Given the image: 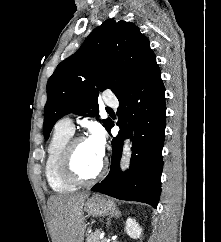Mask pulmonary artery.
<instances>
[{
    "label": "pulmonary artery",
    "instance_id": "e3ab8cb5",
    "mask_svg": "<svg viewBox=\"0 0 221 242\" xmlns=\"http://www.w3.org/2000/svg\"><path fill=\"white\" fill-rule=\"evenodd\" d=\"M105 104L109 106H114L117 104V100L114 98L111 99H105L104 101ZM57 127L63 131L69 132L71 134L74 133V123L71 117H64L62 118L58 123Z\"/></svg>",
    "mask_w": 221,
    "mask_h": 242
}]
</instances>
